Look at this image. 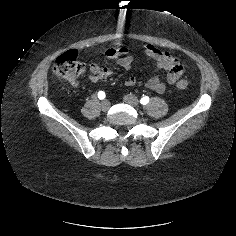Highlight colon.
<instances>
[{"label":"colon","mask_w":236,"mask_h":236,"mask_svg":"<svg viewBox=\"0 0 236 236\" xmlns=\"http://www.w3.org/2000/svg\"><path fill=\"white\" fill-rule=\"evenodd\" d=\"M53 69L58 78L76 85L78 78L85 71V64L79 60L76 51L70 50L60 55L55 60ZM188 84L187 80H180L176 87L178 89H185Z\"/></svg>","instance_id":"5ec220e1"}]
</instances>
